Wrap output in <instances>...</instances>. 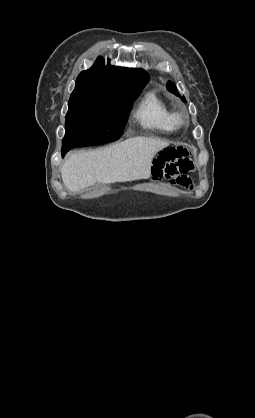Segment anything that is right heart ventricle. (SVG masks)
Wrapping results in <instances>:
<instances>
[{"mask_svg":"<svg viewBox=\"0 0 255 418\" xmlns=\"http://www.w3.org/2000/svg\"><path fill=\"white\" fill-rule=\"evenodd\" d=\"M172 114L168 104L155 91H149L139 102L134 117L142 128L165 133L175 129Z\"/></svg>","mask_w":255,"mask_h":418,"instance_id":"e07e8e85","label":"right heart ventricle"}]
</instances>
